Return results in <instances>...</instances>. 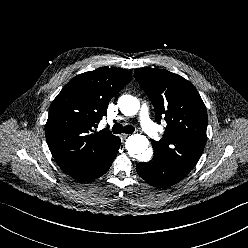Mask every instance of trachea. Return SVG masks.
<instances>
[{
  "mask_svg": "<svg viewBox=\"0 0 248 248\" xmlns=\"http://www.w3.org/2000/svg\"><path fill=\"white\" fill-rule=\"evenodd\" d=\"M134 127L131 126V125H126V126H123L122 124L120 123H115L113 125V128H112V131L114 134H120L122 132L124 133H128V134H131L134 132Z\"/></svg>",
  "mask_w": 248,
  "mask_h": 248,
  "instance_id": "1",
  "label": "trachea"
}]
</instances>
